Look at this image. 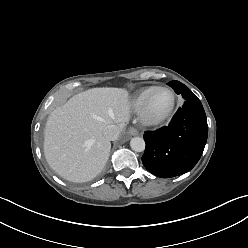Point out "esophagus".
<instances>
[{
	"instance_id": "esophagus-1",
	"label": "esophagus",
	"mask_w": 248,
	"mask_h": 248,
	"mask_svg": "<svg viewBox=\"0 0 248 248\" xmlns=\"http://www.w3.org/2000/svg\"><path fill=\"white\" fill-rule=\"evenodd\" d=\"M128 133H129L131 136H136V135L139 134L138 130H137L136 128H134V127H130V128L128 129Z\"/></svg>"
}]
</instances>
